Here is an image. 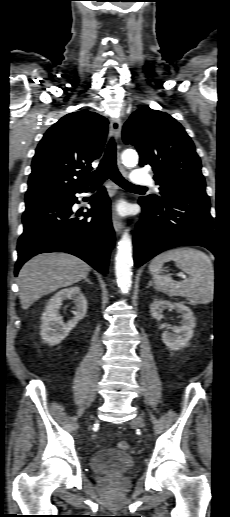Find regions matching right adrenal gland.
Listing matches in <instances>:
<instances>
[{
  "label": "right adrenal gland",
  "mask_w": 230,
  "mask_h": 517,
  "mask_svg": "<svg viewBox=\"0 0 230 517\" xmlns=\"http://www.w3.org/2000/svg\"><path fill=\"white\" fill-rule=\"evenodd\" d=\"M84 281H85V282H88L89 284H93V283L90 281V279H89V278H85V279H84Z\"/></svg>",
  "instance_id": "2a0ac1e0"
}]
</instances>
